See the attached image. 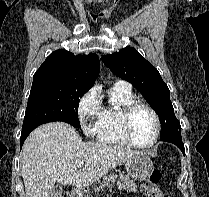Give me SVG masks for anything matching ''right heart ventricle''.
<instances>
[{
	"instance_id": "right-heart-ventricle-1",
	"label": "right heart ventricle",
	"mask_w": 209,
	"mask_h": 197,
	"mask_svg": "<svg viewBox=\"0 0 209 197\" xmlns=\"http://www.w3.org/2000/svg\"><path fill=\"white\" fill-rule=\"evenodd\" d=\"M135 98L130 86H113L109 94L108 103L101 106V114L96 123L95 134L99 141L128 145L121 129V112Z\"/></svg>"
}]
</instances>
